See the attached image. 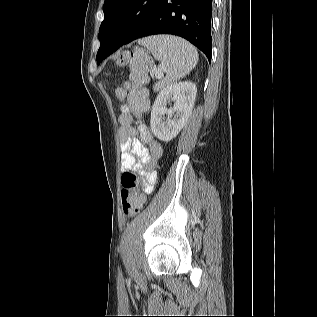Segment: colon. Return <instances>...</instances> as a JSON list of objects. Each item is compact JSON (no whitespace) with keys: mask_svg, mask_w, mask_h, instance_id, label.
Segmentation results:
<instances>
[{"mask_svg":"<svg viewBox=\"0 0 317 317\" xmlns=\"http://www.w3.org/2000/svg\"><path fill=\"white\" fill-rule=\"evenodd\" d=\"M118 66L129 68V80L133 86L139 87L147 81L150 59L142 53L132 51L122 54L117 60ZM121 202L123 212L127 216L136 215L145 204V197L139 192V180L132 170H127L121 178Z\"/></svg>","mask_w":317,"mask_h":317,"instance_id":"obj_1","label":"colon"}]
</instances>
